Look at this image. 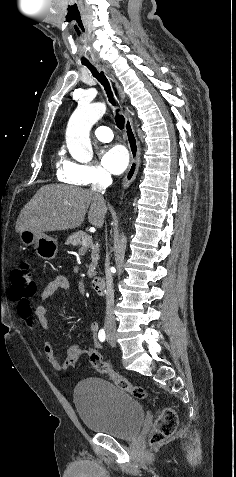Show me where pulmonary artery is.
<instances>
[{
  "mask_svg": "<svg viewBox=\"0 0 236 477\" xmlns=\"http://www.w3.org/2000/svg\"><path fill=\"white\" fill-rule=\"evenodd\" d=\"M95 137L102 142H109L113 139V133L106 126H99L94 130Z\"/></svg>",
  "mask_w": 236,
  "mask_h": 477,
  "instance_id": "pulmonary-artery-1",
  "label": "pulmonary artery"
}]
</instances>
